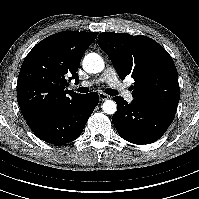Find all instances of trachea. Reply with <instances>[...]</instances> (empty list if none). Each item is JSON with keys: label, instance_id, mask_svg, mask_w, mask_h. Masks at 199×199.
<instances>
[{"label": "trachea", "instance_id": "trachea-1", "mask_svg": "<svg viewBox=\"0 0 199 199\" xmlns=\"http://www.w3.org/2000/svg\"><path fill=\"white\" fill-rule=\"evenodd\" d=\"M77 91L80 93H87V92H89V89L87 87H80L77 89ZM105 93L110 96H116L118 94L117 91H115L114 89H110V88L106 89Z\"/></svg>", "mask_w": 199, "mask_h": 199}]
</instances>
